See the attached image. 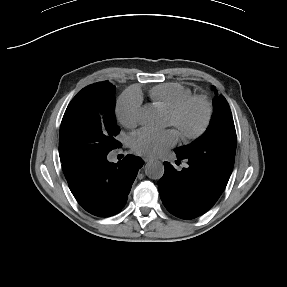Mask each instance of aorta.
Wrapping results in <instances>:
<instances>
[{
    "mask_svg": "<svg viewBox=\"0 0 287 287\" xmlns=\"http://www.w3.org/2000/svg\"><path fill=\"white\" fill-rule=\"evenodd\" d=\"M164 165L160 161L148 162L145 165V174L150 179L158 180L161 179L164 175Z\"/></svg>",
    "mask_w": 287,
    "mask_h": 287,
    "instance_id": "obj_1",
    "label": "aorta"
}]
</instances>
